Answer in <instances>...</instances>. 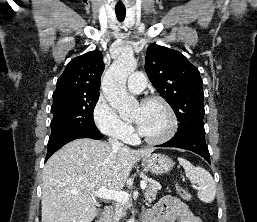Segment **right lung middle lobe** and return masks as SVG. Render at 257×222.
Returning <instances> with one entry per match:
<instances>
[{"label":"right lung middle lobe","mask_w":257,"mask_h":222,"mask_svg":"<svg viewBox=\"0 0 257 222\" xmlns=\"http://www.w3.org/2000/svg\"><path fill=\"white\" fill-rule=\"evenodd\" d=\"M98 98L99 96H92L53 102L49 140L71 132L100 133L93 119V110Z\"/></svg>","instance_id":"1"}]
</instances>
